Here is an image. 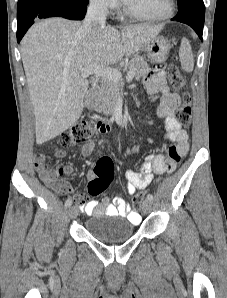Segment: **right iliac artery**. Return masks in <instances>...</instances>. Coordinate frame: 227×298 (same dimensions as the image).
Returning a JSON list of instances; mask_svg holds the SVG:
<instances>
[{"instance_id": "1", "label": "right iliac artery", "mask_w": 227, "mask_h": 298, "mask_svg": "<svg viewBox=\"0 0 227 298\" xmlns=\"http://www.w3.org/2000/svg\"><path fill=\"white\" fill-rule=\"evenodd\" d=\"M71 205H72V200L71 199H67L65 201V207L67 208V207H70Z\"/></svg>"}]
</instances>
